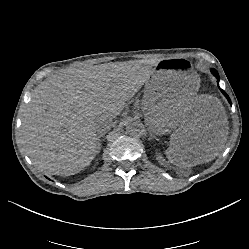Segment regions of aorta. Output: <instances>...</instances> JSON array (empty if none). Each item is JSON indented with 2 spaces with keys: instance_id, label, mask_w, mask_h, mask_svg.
Wrapping results in <instances>:
<instances>
[{
  "instance_id": "762f6f07",
  "label": "aorta",
  "mask_w": 249,
  "mask_h": 249,
  "mask_svg": "<svg viewBox=\"0 0 249 249\" xmlns=\"http://www.w3.org/2000/svg\"><path fill=\"white\" fill-rule=\"evenodd\" d=\"M143 130V125L136 119H129L126 122V131L131 135H140Z\"/></svg>"
}]
</instances>
